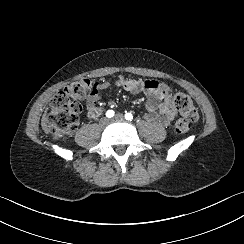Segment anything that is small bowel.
Masks as SVG:
<instances>
[{
  "label": "small bowel",
  "instance_id": "1",
  "mask_svg": "<svg viewBox=\"0 0 244 244\" xmlns=\"http://www.w3.org/2000/svg\"><path fill=\"white\" fill-rule=\"evenodd\" d=\"M111 85L112 83L109 80H99L93 85L86 101L88 117L95 116L102 92ZM115 85L132 95L145 94L146 112L144 118L146 121L169 126L174 120L176 110L172 102L170 87L167 84L155 80H139L119 75L115 80Z\"/></svg>",
  "mask_w": 244,
  "mask_h": 244
}]
</instances>
